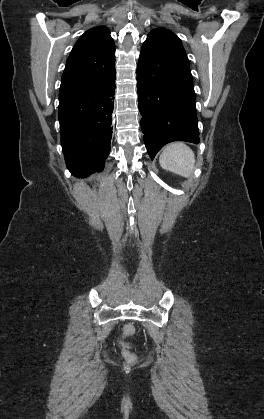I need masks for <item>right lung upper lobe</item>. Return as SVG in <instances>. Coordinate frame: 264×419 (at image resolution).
Listing matches in <instances>:
<instances>
[{
  "mask_svg": "<svg viewBox=\"0 0 264 419\" xmlns=\"http://www.w3.org/2000/svg\"><path fill=\"white\" fill-rule=\"evenodd\" d=\"M115 45L110 31L99 26L76 42L61 79L60 90H70L106 80L115 72Z\"/></svg>",
  "mask_w": 264,
  "mask_h": 419,
  "instance_id": "cb5924a9",
  "label": "right lung upper lobe"
}]
</instances>
